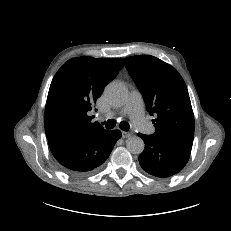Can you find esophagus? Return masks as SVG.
Wrapping results in <instances>:
<instances>
[{"instance_id": "1", "label": "esophagus", "mask_w": 231, "mask_h": 231, "mask_svg": "<svg viewBox=\"0 0 231 231\" xmlns=\"http://www.w3.org/2000/svg\"><path fill=\"white\" fill-rule=\"evenodd\" d=\"M122 137L123 138H128L132 135V132L130 131H121Z\"/></svg>"}]
</instances>
